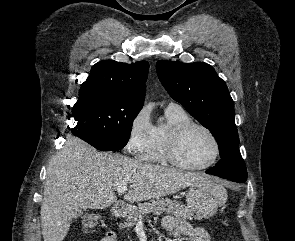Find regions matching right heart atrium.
<instances>
[{
	"mask_svg": "<svg viewBox=\"0 0 295 241\" xmlns=\"http://www.w3.org/2000/svg\"><path fill=\"white\" fill-rule=\"evenodd\" d=\"M153 127L146 108L134 114L130 120L126 142V149L130 154L142 156L145 153L151 142Z\"/></svg>",
	"mask_w": 295,
	"mask_h": 241,
	"instance_id": "d8ad5b80",
	"label": "right heart atrium"
}]
</instances>
